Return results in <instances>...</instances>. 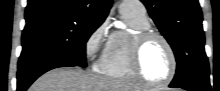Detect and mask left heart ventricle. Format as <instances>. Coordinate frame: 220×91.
<instances>
[{"mask_svg":"<svg viewBox=\"0 0 220 91\" xmlns=\"http://www.w3.org/2000/svg\"><path fill=\"white\" fill-rule=\"evenodd\" d=\"M141 67L144 75L151 81L165 80L171 69V59L167 48L159 40L146 44L141 57Z\"/></svg>","mask_w":220,"mask_h":91,"instance_id":"left-heart-ventricle-1","label":"left heart ventricle"}]
</instances>
